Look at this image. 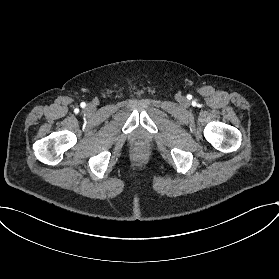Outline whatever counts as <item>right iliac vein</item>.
<instances>
[{
	"label": "right iliac vein",
	"instance_id": "obj_1",
	"mask_svg": "<svg viewBox=\"0 0 279 279\" xmlns=\"http://www.w3.org/2000/svg\"><path fill=\"white\" fill-rule=\"evenodd\" d=\"M90 108H92V109H93V107H92V106H88V107H87V110H89Z\"/></svg>",
	"mask_w": 279,
	"mask_h": 279
}]
</instances>
